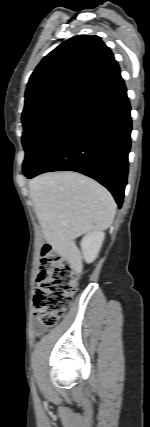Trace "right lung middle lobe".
<instances>
[{"label": "right lung middle lobe", "instance_id": "dd1d6c3e", "mask_svg": "<svg viewBox=\"0 0 150 427\" xmlns=\"http://www.w3.org/2000/svg\"><path fill=\"white\" fill-rule=\"evenodd\" d=\"M80 106L54 104L30 111L22 116L25 150L23 173L29 176L59 137Z\"/></svg>", "mask_w": 150, "mask_h": 427}]
</instances>
